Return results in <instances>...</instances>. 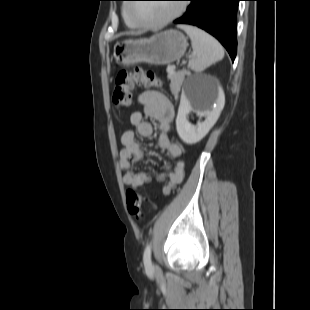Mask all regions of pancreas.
Segmentation results:
<instances>
[{
  "label": "pancreas",
  "instance_id": "obj_1",
  "mask_svg": "<svg viewBox=\"0 0 310 310\" xmlns=\"http://www.w3.org/2000/svg\"><path fill=\"white\" fill-rule=\"evenodd\" d=\"M185 75H186V72L184 71H180V72L173 71V72L168 73V78L171 81L170 90H171V93L176 97L178 96L180 92V88L185 79Z\"/></svg>",
  "mask_w": 310,
  "mask_h": 310
}]
</instances>
